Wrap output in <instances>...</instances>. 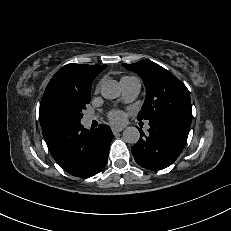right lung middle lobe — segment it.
Returning a JSON list of instances; mask_svg holds the SVG:
<instances>
[{
	"label": "right lung middle lobe",
	"mask_w": 231,
	"mask_h": 231,
	"mask_svg": "<svg viewBox=\"0 0 231 231\" xmlns=\"http://www.w3.org/2000/svg\"><path fill=\"white\" fill-rule=\"evenodd\" d=\"M91 95H84L66 89L51 91L43 102V112L46 119L61 128L80 123L82 111L89 104Z\"/></svg>",
	"instance_id": "right-lung-middle-lobe-1"
}]
</instances>
